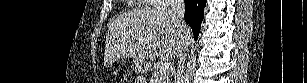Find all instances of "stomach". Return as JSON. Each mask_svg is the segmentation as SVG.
Instances as JSON below:
<instances>
[{
    "label": "stomach",
    "instance_id": "0dacf381",
    "mask_svg": "<svg viewBox=\"0 0 307 83\" xmlns=\"http://www.w3.org/2000/svg\"><path fill=\"white\" fill-rule=\"evenodd\" d=\"M144 69H145L144 64L136 62V64L134 65V70H136V71H141V70H144Z\"/></svg>",
    "mask_w": 307,
    "mask_h": 83
}]
</instances>
